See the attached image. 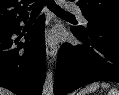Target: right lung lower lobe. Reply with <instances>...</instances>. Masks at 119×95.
<instances>
[{
	"mask_svg": "<svg viewBox=\"0 0 119 95\" xmlns=\"http://www.w3.org/2000/svg\"><path fill=\"white\" fill-rule=\"evenodd\" d=\"M20 31L19 23L0 31V86L17 95H41L46 72L44 17L29 29L25 43L11 38Z\"/></svg>",
	"mask_w": 119,
	"mask_h": 95,
	"instance_id": "1",
	"label": "right lung lower lobe"
}]
</instances>
